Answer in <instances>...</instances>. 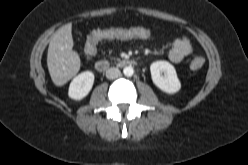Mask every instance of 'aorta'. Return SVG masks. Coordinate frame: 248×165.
Wrapping results in <instances>:
<instances>
[{"label": "aorta", "mask_w": 248, "mask_h": 165, "mask_svg": "<svg viewBox=\"0 0 248 165\" xmlns=\"http://www.w3.org/2000/svg\"><path fill=\"white\" fill-rule=\"evenodd\" d=\"M123 73H124L125 76L131 77L134 74V69H133L132 66H126L123 69Z\"/></svg>", "instance_id": "762f6f07"}]
</instances>
